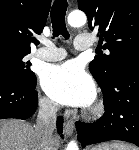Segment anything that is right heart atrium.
<instances>
[{"mask_svg":"<svg viewBox=\"0 0 139 150\" xmlns=\"http://www.w3.org/2000/svg\"><path fill=\"white\" fill-rule=\"evenodd\" d=\"M40 108L43 112L47 114H52L56 111V105L46 97H41L39 100Z\"/></svg>","mask_w":139,"mask_h":150,"instance_id":"obj_1","label":"right heart atrium"}]
</instances>
